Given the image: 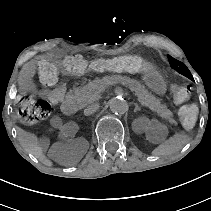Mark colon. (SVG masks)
Returning <instances> with one entry per match:
<instances>
[{"mask_svg": "<svg viewBox=\"0 0 211 211\" xmlns=\"http://www.w3.org/2000/svg\"><path fill=\"white\" fill-rule=\"evenodd\" d=\"M152 61L140 55H123L113 58L86 60L79 56H69L61 60H48L39 66V80L44 86L56 83L64 74L81 75L88 71L115 73H150L154 71ZM173 96L177 103L189 101L191 92L186 86L173 87ZM51 112V105L44 99L36 100L23 95L17 102V118L26 125H34L46 119ZM198 109L193 104H186L179 110V118L185 128H192L197 121Z\"/></svg>", "mask_w": 211, "mask_h": 211, "instance_id": "1", "label": "colon"}]
</instances>
